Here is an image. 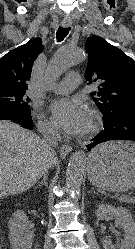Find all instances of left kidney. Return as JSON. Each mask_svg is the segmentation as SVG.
Masks as SVG:
<instances>
[{"mask_svg":"<svg viewBox=\"0 0 135 249\" xmlns=\"http://www.w3.org/2000/svg\"><path fill=\"white\" fill-rule=\"evenodd\" d=\"M98 220L114 218L124 229V240L121 245H113L106 236L102 239L104 249H134L135 247V222L129 210L123 207H114L109 204H100L96 210Z\"/></svg>","mask_w":135,"mask_h":249,"instance_id":"left-kidney-1","label":"left kidney"}]
</instances>
